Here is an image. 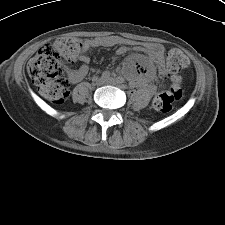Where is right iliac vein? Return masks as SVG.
<instances>
[{
    "label": "right iliac vein",
    "instance_id": "1",
    "mask_svg": "<svg viewBox=\"0 0 225 225\" xmlns=\"http://www.w3.org/2000/svg\"><path fill=\"white\" fill-rule=\"evenodd\" d=\"M104 83H105V80L102 77L98 78L97 81H96L97 85H103Z\"/></svg>",
    "mask_w": 225,
    "mask_h": 225
}]
</instances>
